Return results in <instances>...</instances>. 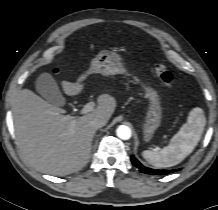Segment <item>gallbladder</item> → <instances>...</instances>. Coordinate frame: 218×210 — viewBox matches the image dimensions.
<instances>
[{
	"mask_svg": "<svg viewBox=\"0 0 218 210\" xmlns=\"http://www.w3.org/2000/svg\"><path fill=\"white\" fill-rule=\"evenodd\" d=\"M37 92L49 103L55 106L64 104V97L62 96L57 83L49 73H42L36 79Z\"/></svg>",
	"mask_w": 218,
	"mask_h": 210,
	"instance_id": "obj_1",
	"label": "gallbladder"
}]
</instances>
